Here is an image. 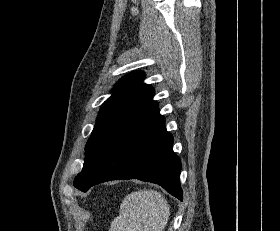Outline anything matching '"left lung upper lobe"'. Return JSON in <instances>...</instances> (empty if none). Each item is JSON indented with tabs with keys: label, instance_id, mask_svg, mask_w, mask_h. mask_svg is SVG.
<instances>
[{
	"label": "left lung upper lobe",
	"instance_id": "left-lung-upper-lobe-1",
	"mask_svg": "<svg viewBox=\"0 0 280 231\" xmlns=\"http://www.w3.org/2000/svg\"><path fill=\"white\" fill-rule=\"evenodd\" d=\"M140 71L124 76L116 83L113 94L101 106L95 127L86 144L84 166L74 180L79 187L95 157L106 143L122 129L158 108L153 101L154 89L142 82Z\"/></svg>",
	"mask_w": 280,
	"mask_h": 231
}]
</instances>
